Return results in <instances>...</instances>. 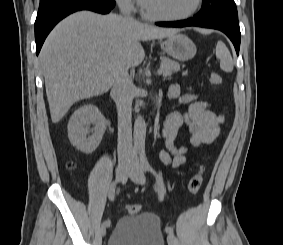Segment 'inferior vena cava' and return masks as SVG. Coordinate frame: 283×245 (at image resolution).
I'll return each instance as SVG.
<instances>
[{
	"label": "inferior vena cava",
	"mask_w": 283,
	"mask_h": 245,
	"mask_svg": "<svg viewBox=\"0 0 283 245\" xmlns=\"http://www.w3.org/2000/svg\"><path fill=\"white\" fill-rule=\"evenodd\" d=\"M121 12L127 19H133L127 3H120ZM118 112V159H131L135 157L132 146V100L134 85L128 70L122 71L116 77L111 89Z\"/></svg>",
	"instance_id": "602c4592"
}]
</instances>
